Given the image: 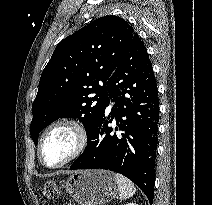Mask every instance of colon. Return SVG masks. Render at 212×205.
<instances>
[{"instance_id":"obj_1","label":"colon","mask_w":212,"mask_h":205,"mask_svg":"<svg viewBox=\"0 0 212 205\" xmlns=\"http://www.w3.org/2000/svg\"><path fill=\"white\" fill-rule=\"evenodd\" d=\"M42 196L46 201H53L60 197V188L55 182H47L42 189Z\"/></svg>"}]
</instances>
